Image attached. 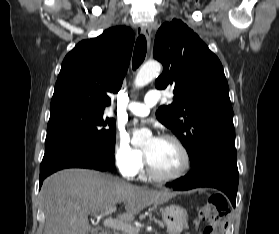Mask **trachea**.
<instances>
[{"label": "trachea", "instance_id": "trachea-1", "mask_svg": "<svg viewBox=\"0 0 279 234\" xmlns=\"http://www.w3.org/2000/svg\"><path fill=\"white\" fill-rule=\"evenodd\" d=\"M147 51V42L144 35L137 38L132 59L133 69L136 70L144 61Z\"/></svg>", "mask_w": 279, "mask_h": 234}]
</instances>
